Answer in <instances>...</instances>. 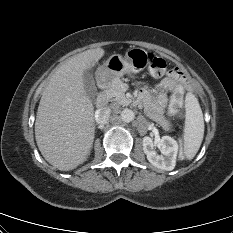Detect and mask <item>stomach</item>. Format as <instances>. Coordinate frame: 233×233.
Here are the masks:
<instances>
[{
  "label": "stomach",
  "instance_id": "obj_1",
  "mask_svg": "<svg viewBox=\"0 0 233 233\" xmlns=\"http://www.w3.org/2000/svg\"><path fill=\"white\" fill-rule=\"evenodd\" d=\"M148 65V53L142 48H130L125 55H112L100 68L102 77L109 82L125 74H136L143 71Z\"/></svg>",
  "mask_w": 233,
  "mask_h": 233
}]
</instances>
